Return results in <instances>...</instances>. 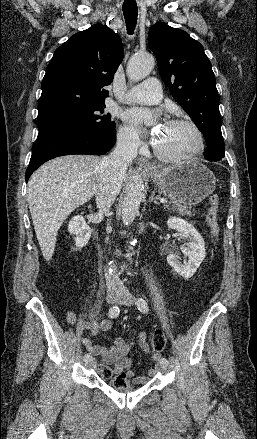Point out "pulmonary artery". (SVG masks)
Returning a JSON list of instances; mask_svg holds the SVG:
<instances>
[{"instance_id": "pulmonary-artery-1", "label": "pulmonary artery", "mask_w": 257, "mask_h": 439, "mask_svg": "<svg viewBox=\"0 0 257 439\" xmlns=\"http://www.w3.org/2000/svg\"><path fill=\"white\" fill-rule=\"evenodd\" d=\"M162 98L160 83L156 78H149L140 85L129 89L119 101L122 103L156 104Z\"/></svg>"}]
</instances>
